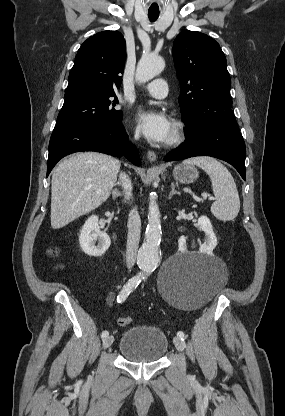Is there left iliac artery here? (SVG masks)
Returning a JSON list of instances; mask_svg holds the SVG:
<instances>
[{
    "instance_id": "left-iliac-artery-1",
    "label": "left iliac artery",
    "mask_w": 285,
    "mask_h": 416,
    "mask_svg": "<svg viewBox=\"0 0 285 416\" xmlns=\"http://www.w3.org/2000/svg\"><path fill=\"white\" fill-rule=\"evenodd\" d=\"M177 336L183 341H184V339H186V336H185L184 332H182V331H178Z\"/></svg>"
}]
</instances>
